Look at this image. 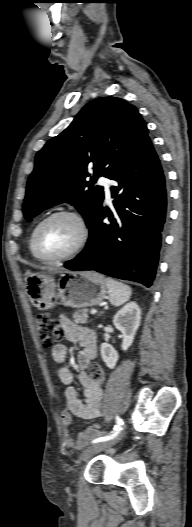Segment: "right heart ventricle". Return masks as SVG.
<instances>
[{
	"instance_id": "1",
	"label": "right heart ventricle",
	"mask_w": 192,
	"mask_h": 527,
	"mask_svg": "<svg viewBox=\"0 0 192 527\" xmlns=\"http://www.w3.org/2000/svg\"><path fill=\"white\" fill-rule=\"evenodd\" d=\"M33 231H34V229H33ZM33 231H32V233H31V235H30V238H29V249H30L31 254L34 256L33 251H32V245H31ZM34 257H35V256H34Z\"/></svg>"
}]
</instances>
